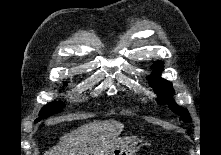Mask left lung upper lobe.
<instances>
[{
    "label": "left lung upper lobe",
    "mask_w": 221,
    "mask_h": 155,
    "mask_svg": "<svg viewBox=\"0 0 221 155\" xmlns=\"http://www.w3.org/2000/svg\"><path fill=\"white\" fill-rule=\"evenodd\" d=\"M161 67H159L152 76L150 85L154 88L155 92L161 97L159 100L160 104H168L169 108L176 114L180 115V120L184 122H190L191 118L188 111L179 105H177L171 95L173 92L172 84L159 77V72Z\"/></svg>",
    "instance_id": "5c2ea615"
}]
</instances>
